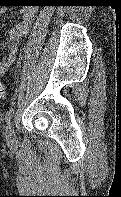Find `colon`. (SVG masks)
Returning <instances> with one entry per match:
<instances>
[{"label": "colon", "instance_id": "5ec220e1", "mask_svg": "<svg viewBox=\"0 0 121 197\" xmlns=\"http://www.w3.org/2000/svg\"><path fill=\"white\" fill-rule=\"evenodd\" d=\"M6 98H7V94H6L5 88L2 82L0 81V100H5Z\"/></svg>", "mask_w": 121, "mask_h": 197}]
</instances>
